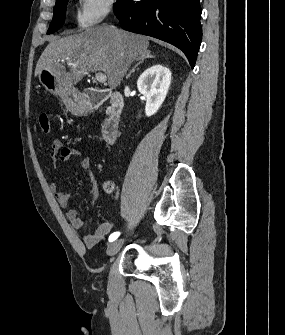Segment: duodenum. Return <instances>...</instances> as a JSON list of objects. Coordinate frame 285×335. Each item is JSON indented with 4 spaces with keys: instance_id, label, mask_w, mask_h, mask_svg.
<instances>
[{
    "instance_id": "410a0bca",
    "label": "duodenum",
    "mask_w": 285,
    "mask_h": 335,
    "mask_svg": "<svg viewBox=\"0 0 285 335\" xmlns=\"http://www.w3.org/2000/svg\"><path fill=\"white\" fill-rule=\"evenodd\" d=\"M105 103H107V110L102 124V138L106 143L113 144L118 137L124 106L122 95L109 89H87L81 100V109L89 112Z\"/></svg>"
}]
</instances>
